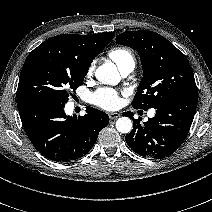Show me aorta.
<instances>
[{"mask_svg": "<svg viewBox=\"0 0 212 212\" xmlns=\"http://www.w3.org/2000/svg\"><path fill=\"white\" fill-rule=\"evenodd\" d=\"M95 77L103 84H111L119 79L116 67L113 64H104L98 67ZM132 126V121L128 117H120L116 121V129L120 133H129Z\"/></svg>", "mask_w": 212, "mask_h": 212, "instance_id": "1", "label": "aorta"}]
</instances>
